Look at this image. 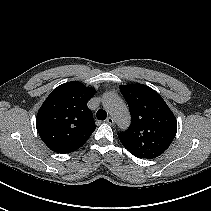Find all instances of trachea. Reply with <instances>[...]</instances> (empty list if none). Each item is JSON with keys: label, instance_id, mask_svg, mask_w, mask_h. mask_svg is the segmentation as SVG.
Masks as SVG:
<instances>
[{"label": "trachea", "instance_id": "1", "mask_svg": "<svg viewBox=\"0 0 211 211\" xmlns=\"http://www.w3.org/2000/svg\"><path fill=\"white\" fill-rule=\"evenodd\" d=\"M97 119L98 120H105L107 117V113L103 109H99L96 113Z\"/></svg>", "mask_w": 211, "mask_h": 211}]
</instances>
